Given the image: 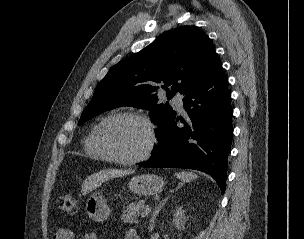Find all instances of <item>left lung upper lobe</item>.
Here are the masks:
<instances>
[{
    "label": "left lung upper lobe",
    "mask_w": 304,
    "mask_h": 239,
    "mask_svg": "<svg viewBox=\"0 0 304 239\" xmlns=\"http://www.w3.org/2000/svg\"><path fill=\"white\" fill-rule=\"evenodd\" d=\"M214 51L208 36L196 26H182L162 34L110 68L96 86L78 125L107 110L133 106L151 110L158 136L176 113L168 104H158L157 92L165 89L168 99L177 92L186 94L209 66Z\"/></svg>",
    "instance_id": "5c2ea615"
}]
</instances>
